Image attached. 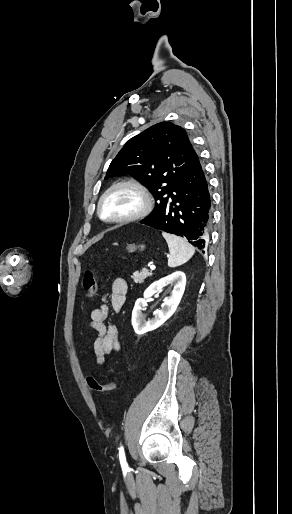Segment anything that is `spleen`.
Listing matches in <instances>:
<instances>
[{
	"mask_svg": "<svg viewBox=\"0 0 292 514\" xmlns=\"http://www.w3.org/2000/svg\"><path fill=\"white\" fill-rule=\"evenodd\" d=\"M162 236L165 238L169 248V268L182 266L195 254V248L189 244L188 240L174 236V234H166V232H163Z\"/></svg>",
	"mask_w": 292,
	"mask_h": 514,
	"instance_id": "1",
	"label": "spleen"
}]
</instances>
